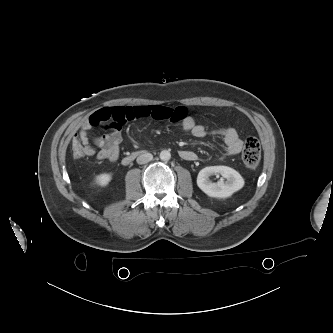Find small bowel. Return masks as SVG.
Instances as JSON below:
<instances>
[{"label": "small bowel", "instance_id": "1", "mask_svg": "<svg viewBox=\"0 0 333 333\" xmlns=\"http://www.w3.org/2000/svg\"><path fill=\"white\" fill-rule=\"evenodd\" d=\"M151 118L158 121H169L181 125L185 132L195 137H204L207 134L206 128L197 123L188 108L167 107L163 105H139V106H118L107 107L94 112L81 126L79 139L83 145L85 156L95 157L97 160H109L115 162L119 158V146L122 142V128L131 120ZM93 127H103L109 132L98 136L92 142L88 132ZM222 137L225 153L228 156H235L240 153L243 142L233 127H228L220 134ZM185 160H194L195 154L188 150L180 153Z\"/></svg>", "mask_w": 333, "mask_h": 333}]
</instances>
